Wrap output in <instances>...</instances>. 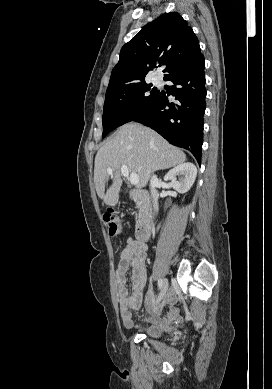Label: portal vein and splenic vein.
Returning a JSON list of instances; mask_svg holds the SVG:
<instances>
[{
	"label": "portal vein and splenic vein",
	"instance_id": "1",
	"mask_svg": "<svg viewBox=\"0 0 272 389\" xmlns=\"http://www.w3.org/2000/svg\"><path fill=\"white\" fill-rule=\"evenodd\" d=\"M107 172H108V174H112L113 173L112 168H108ZM121 174L124 177H128L131 184L136 185L139 183V176L136 173H130L129 169L126 165H122Z\"/></svg>",
	"mask_w": 272,
	"mask_h": 389
}]
</instances>
